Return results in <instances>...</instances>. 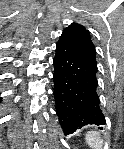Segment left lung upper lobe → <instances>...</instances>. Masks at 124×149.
<instances>
[{
	"label": "left lung upper lobe",
	"instance_id": "obj_1",
	"mask_svg": "<svg viewBox=\"0 0 124 149\" xmlns=\"http://www.w3.org/2000/svg\"><path fill=\"white\" fill-rule=\"evenodd\" d=\"M61 36L96 62L95 46L92 43L89 31L86 30L84 26L72 23L69 27L64 29Z\"/></svg>",
	"mask_w": 124,
	"mask_h": 149
}]
</instances>
